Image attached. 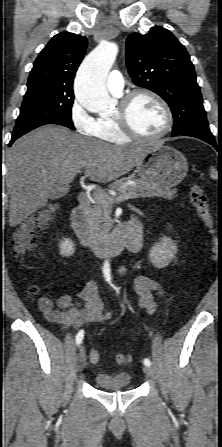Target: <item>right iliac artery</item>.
Here are the masks:
<instances>
[{
  "label": "right iliac artery",
  "mask_w": 222,
  "mask_h": 447,
  "mask_svg": "<svg viewBox=\"0 0 222 447\" xmlns=\"http://www.w3.org/2000/svg\"><path fill=\"white\" fill-rule=\"evenodd\" d=\"M84 337V330H80L76 335V344L80 345Z\"/></svg>",
  "instance_id": "obj_1"
}]
</instances>
